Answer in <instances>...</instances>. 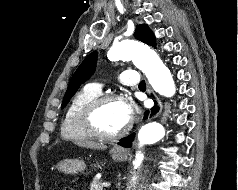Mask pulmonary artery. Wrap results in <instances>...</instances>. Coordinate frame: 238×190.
I'll use <instances>...</instances> for the list:
<instances>
[{
    "label": "pulmonary artery",
    "mask_w": 238,
    "mask_h": 190,
    "mask_svg": "<svg viewBox=\"0 0 238 190\" xmlns=\"http://www.w3.org/2000/svg\"><path fill=\"white\" fill-rule=\"evenodd\" d=\"M120 82L126 86H136L139 84V76L138 73L134 70H125L119 76ZM89 87L100 92L101 85L98 83H93Z\"/></svg>",
    "instance_id": "e3ab8cb5"
}]
</instances>
